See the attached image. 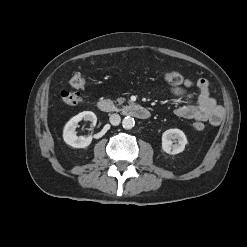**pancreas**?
<instances>
[{
	"mask_svg": "<svg viewBox=\"0 0 247 247\" xmlns=\"http://www.w3.org/2000/svg\"><path fill=\"white\" fill-rule=\"evenodd\" d=\"M124 101H125V98H123V97H120V98H118V99L116 100V102H117L119 105H121Z\"/></svg>",
	"mask_w": 247,
	"mask_h": 247,
	"instance_id": "1",
	"label": "pancreas"
}]
</instances>
